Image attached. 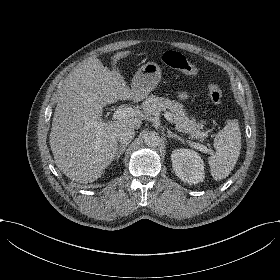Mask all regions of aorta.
Wrapping results in <instances>:
<instances>
[{
  "mask_svg": "<svg viewBox=\"0 0 280 280\" xmlns=\"http://www.w3.org/2000/svg\"><path fill=\"white\" fill-rule=\"evenodd\" d=\"M143 138H144L145 144L149 147L158 146V144L160 143V136L155 131L146 132L143 135Z\"/></svg>",
  "mask_w": 280,
  "mask_h": 280,
  "instance_id": "obj_1",
  "label": "aorta"
}]
</instances>
